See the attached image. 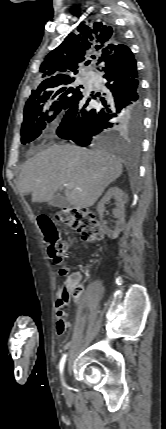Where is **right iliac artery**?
<instances>
[{"mask_svg": "<svg viewBox=\"0 0 166 429\" xmlns=\"http://www.w3.org/2000/svg\"><path fill=\"white\" fill-rule=\"evenodd\" d=\"M66 357H67V354H64V355H63V357H62V358H61V360H60V363H59V370H60V374H61V375H62V373H63V369H64V365H65Z\"/></svg>", "mask_w": 166, "mask_h": 429, "instance_id": "right-iliac-artery-1", "label": "right iliac artery"}]
</instances>
